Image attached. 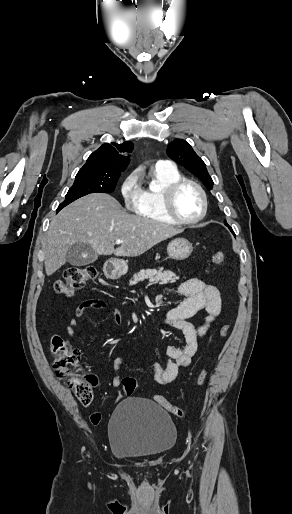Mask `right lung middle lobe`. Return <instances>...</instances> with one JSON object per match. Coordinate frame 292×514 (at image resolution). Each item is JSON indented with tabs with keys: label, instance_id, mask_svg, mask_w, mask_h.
Here are the masks:
<instances>
[{
	"label": "right lung middle lobe",
	"instance_id": "right-lung-middle-lobe-1",
	"mask_svg": "<svg viewBox=\"0 0 292 514\" xmlns=\"http://www.w3.org/2000/svg\"><path fill=\"white\" fill-rule=\"evenodd\" d=\"M118 179L119 177L76 175L73 186L68 190L65 200L59 205L57 212L87 194L114 192Z\"/></svg>",
	"mask_w": 292,
	"mask_h": 514
}]
</instances>
